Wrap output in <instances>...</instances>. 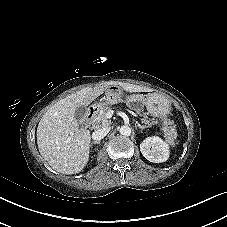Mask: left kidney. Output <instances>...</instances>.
<instances>
[{"label":"left kidney","instance_id":"5707ae66","mask_svg":"<svg viewBox=\"0 0 227 227\" xmlns=\"http://www.w3.org/2000/svg\"><path fill=\"white\" fill-rule=\"evenodd\" d=\"M142 155L153 163L165 162L169 158V144L158 136L147 137L140 144Z\"/></svg>","mask_w":227,"mask_h":227}]
</instances>
